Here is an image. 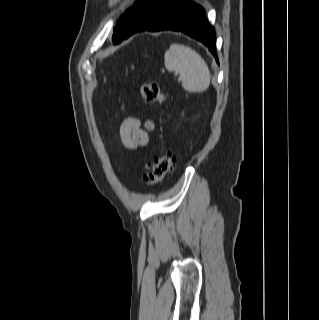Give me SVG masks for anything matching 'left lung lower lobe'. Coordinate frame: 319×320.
Segmentation results:
<instances>
[{"instance_id": "obj_1", "label": "left lung lower lobe", "mask_w": 319, "mask_h": 320, "mask_svg": "<svg viewBox=\"0 0 319 320\" xmlns=\"http://www.w3.org/2000/svg\"><path fill=\"white\" fill-rule=\"evenodd\" d=\"M180 31L203 43L218 63L215 30L204 9L185 0H158L131 27L124 39L141 31Z\"/></svg>"}]
</instances>
